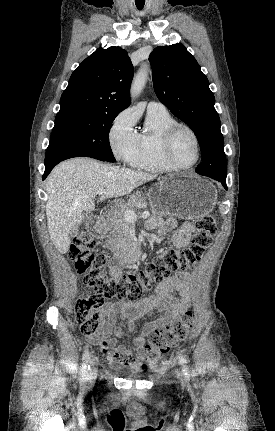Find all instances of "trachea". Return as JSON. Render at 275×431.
<instances>
[{
  "label": "trachea",
  "instance_id": "trachea-1",
  "mask_svg": "<svg viewBox=\"0 0 275 431\" xmlns=\"http://www.w3.org/2000/svg\"><path fill=\"white\" fill-rule=\"evenodd\" d=\"M138 9H139V10H141V9H142V7H138Z\"/></svg>",
  "mask_w": 275,
  "mask_h": 431
}]
</instances>
